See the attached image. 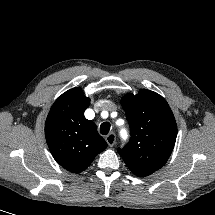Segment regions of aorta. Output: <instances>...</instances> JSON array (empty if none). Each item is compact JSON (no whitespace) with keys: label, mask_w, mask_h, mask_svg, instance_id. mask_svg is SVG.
<instances>
[{"label":"aorta","mask_w":215,"mask_h":215,"mask_svg":"<svg viewBox=\"0 0 215 215\" xmlns=\"http://www.w3.org/2000/svg\"><path fill=\"white\" fill-rule=\"evenodd\" d=\"M121 136H122L123 138H125V137L127 136V132H126L125 129H122V130H121Z\"/></svg>","instance_id":"1"}]
</instances>
